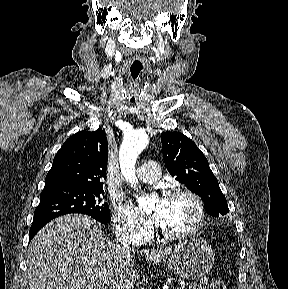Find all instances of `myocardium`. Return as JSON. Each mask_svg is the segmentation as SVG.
Returning <instances> with one entry per match:
<instances>
[{"mask_svg":"<svg viewBox=\"0 0 288 289\" xmlns=\"http://www.w3.org/2000/svg\"><path fill=\"white\" fill-rule=\"evenodd\" d=\"M179 196H186L192 199L197 209V218L193 226L190 229L183 232H170L167 229H165L162 225H158V230L160 234L171 240H184L194 237L200 231L205 222L204 203L201 197L194 191L186 188L171 189L164 194L163 199L168 200Z\"/></svg>","mask_w":288,"mask_h":289,"instance_id":"1","label":"myocardium"}]
</instances>
